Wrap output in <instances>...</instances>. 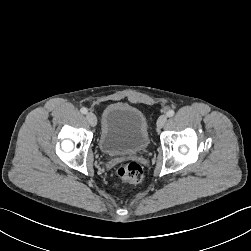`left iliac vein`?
I'll return each mask as SVG.
<instances>
[{
  "label": "left iliac vein",
  "mask_w": 251,
  "mask_h": 251,
  "mask_svg": "<svg viewBox=\"0 0 251 251\" xmlns=\"http://www.w3.org/2000/svg\"><path fill=\"white\" fill-rule=\"evenodd\" d=\"M167 121V116L166 115H161L158 120H157V127L162 128Z\"/></svg>",
  "instance_id": "obj_1"
}]
</instances>
